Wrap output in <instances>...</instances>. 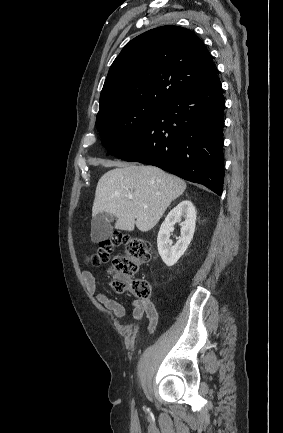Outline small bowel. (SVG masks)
<instances>
[{"label":"small bowel","mask_w":283,"mask_h":433,"mask_svg":"<svg viewBox=\"0 0 283 433\" xmlns=\"http://www.w3.org/2000/svg\"><path fill=\"white\" fill-rule=\"evenodd\" d=\"M82 278L88 292L91 295L95 296L99 303H101L106 309L111 311L116 318L121 319L125 316L126 310L121 303L109 298L106 294L99 291L98 279L96 276H94L89 271H83ZM144 316H146L149 321V332L153 333L156 330L158 324V313L154 304L148 298L135 299L132 302V317L136 325H139L143 321Z\"/></svg>","instance_id":"1"}]
</instances>
